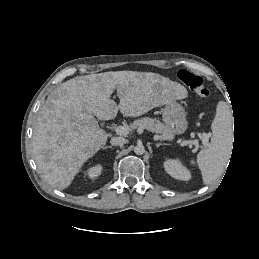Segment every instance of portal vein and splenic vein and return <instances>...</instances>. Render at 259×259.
Listing matches in <instances>:
<instances>
[{"mask_svg":"<svg viewBox=\"0 0 259 259\" xmlns=\"http://www.w3.org/2000/svg\"><path fill=\"white\" fill-rule=\"evenodd\" d=\"M115 132L118 135H127L129 133V128L126 126H117L115 127ZM198 139H193L189 141H184L183 144H193V145H198ZM202 144L204 146H207L209 144V135L203 134L202 135Z\"/></svg>","mask_w":259,"mask_h":259,"instance_id":"18ae733b","label":"portal vein and splenic vein"}]
</instances>
